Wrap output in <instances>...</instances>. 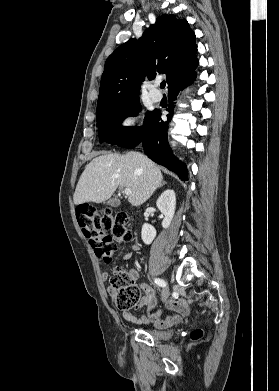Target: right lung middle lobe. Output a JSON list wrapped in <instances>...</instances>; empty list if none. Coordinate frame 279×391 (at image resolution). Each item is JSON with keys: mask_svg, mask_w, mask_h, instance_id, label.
I'll return each mask as SVG.
<instances>
[{"mask_svg": "<svg viewBox=\"0 0 279 391\" xmlns=\"http://www.w3.org/2000/svg\"><path fill=\"white\" fill-rule=\"evenodd\" d=\"M141 111L139 100L132 103L113 107L97 113L96 121L99 127V138L101 142L114 144L121 137L129 133L132 129L121 126L122 121L129 116H136ZM147 112L145 118L150 115Z\"/></svg>", "mask_w": 279, "mask_h": 391, "instance_id": "dd1d6c3e", "label": "right lung middle lobe"}]
</instances>
